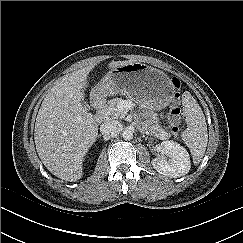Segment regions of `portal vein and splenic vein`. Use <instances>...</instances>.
Masks as SVG:
<instances>
[{
  "label": "portal vein and splenic vein",
  "instance_id": "obj_1",
  "mask_svg": "<svg viewBox=\"0 0 243 243\" xmlns=\"http://www.w3.org/2000/svg\"><path fill=\"white\" fill-rule=\"evenodd\" d=\"M130 107H131V102L130 101H125V102H123V103H121L120 105H119V108L121 109V110H124V109H130Z\"/></svg>",
  "mask_w": 243,
  "mask_h": 243
}]
</instances>
